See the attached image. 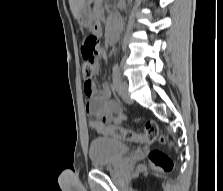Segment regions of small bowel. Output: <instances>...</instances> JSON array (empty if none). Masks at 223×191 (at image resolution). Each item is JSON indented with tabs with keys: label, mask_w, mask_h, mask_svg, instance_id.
Masks as SVG:
<instances>
[{
	"label": "small bowel",
	"mask_w": 223,
	"mask_h": 191,
	"mask_svg": "<svg viewBox=\"0 0 223 191\" xmlns=\"http://www.w3.org/2000/svg\"><path fill=\"white\" fill-rule=\"evenodd\" d=\"M95 32L100 34V27H96ZM83 90L88 98L85 108L91 117V128L102 133L105 129V124L118 125L126 119L120 104L110 99V89L107 83H102L101 90L96 91L94 82H85Z\"/></svg>",
	"instance_id": "obj_1"
}]
</instances>
